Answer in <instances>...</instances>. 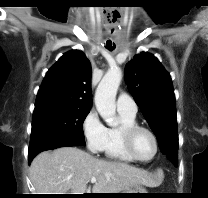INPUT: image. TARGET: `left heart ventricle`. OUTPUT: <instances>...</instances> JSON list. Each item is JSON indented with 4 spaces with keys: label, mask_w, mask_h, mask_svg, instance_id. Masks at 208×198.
I'll return each mask as SVG.
<instances>
[{
    "label": "left heart ventricle",
    "mask_w": 208,
    "mask_h": 198,
    "mask_svg": "<svg viewBox=\"0 0 208 198\" xmlns=\"http://www.w3.org/2000/svg\"><path fill=\"white\" fill-rule=\"evenodd\" d=\"M133 146L139 157L149 159L155 151L153 138L146 131H138L133 140Z\"/></svg>",
    "instance_id": "obj_1"
}]
</instances>
